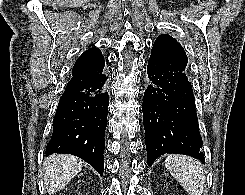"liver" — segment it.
<instances>
[{
    "label": "liver",
    "instance_id": "1",
    "mask_svg": "<svg viewBox=\"0 0 245 195\" xmlns=\"http://www.w3.org/2000/svg\"><path fill=\"white\" fill-rule=\"evenodd\" d=\"M44 182L49 194L63 189L82 169V162L69 154H56L47 157Z\"/></svg>",
    "mask_w": 245,
    "mask_h": 195
}]
</instances>
